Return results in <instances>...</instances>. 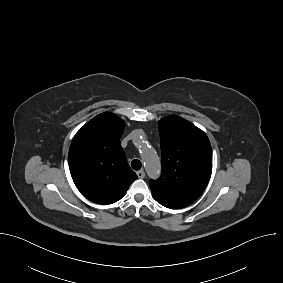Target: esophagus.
Here are the masks:
<instances>
[{
  "mask_svg": "<svg viewBox=\"0 0 283 283\" xmlns=\"http://www.w3.org/2000/svg\"><path fill=\"white\" fill-rule=\"evenodd\" d=\"M137 176L142 179L145 177V172L143 170H139L137 171Z\"/></svg>",
  "mask_w": 283,
  "mask_h": 283,
  "instance_id": "1",
  "label": "esophagus"
}]
</instances>
